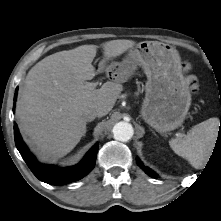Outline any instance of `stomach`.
I'll return each instance as SVG.
<instances>
[{
	"label": "stomach",
	"instance_id": "obj_1",
	"mask_svg": "<svg viewBox=\"0 0 221 221\" xmlns=\"http://www.w3.org/2000/svg\"><path fill=\"white\" fill-rule=\"evenodd\" d=\"M137 66L147 76L140 112L143 120L160 133L181 126L191 105V94L176 48L158 41H143L130 49L122 62L108 65L106 71L116 82H125Z\"/></svg>",
	"mask_w": 221,
	"mask_h": 221
}]
</instances>
